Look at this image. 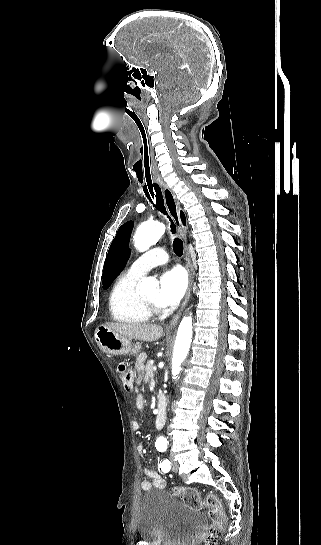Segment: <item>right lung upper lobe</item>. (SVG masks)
<instances>
[{"label":"right lung upper lobe","mask_w":321,"mask_h":545,"mask_svg":"<svg viewBox=\"0 0 321 545\" xmlns=\"http://www.w3.org/2000/svg\"><path fill=\"white\" fill-rule=\"evenodd\" d=\"M181 220L183 222V224L185 225L186 224V220H185V216H184V213L181 211Z\"/></svg>","instance_id":"cb5924a9"}]
</instances>
